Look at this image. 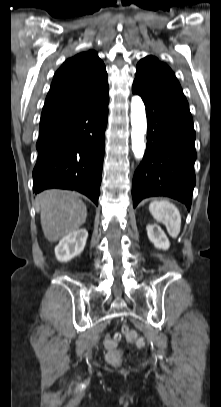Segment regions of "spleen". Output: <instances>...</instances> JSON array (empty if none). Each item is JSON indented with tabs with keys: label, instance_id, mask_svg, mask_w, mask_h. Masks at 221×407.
I'll use <instances>...</instances> for the list:
<instances>
[{
	"label": "spleen",
	"instance_id": "3e777b00",
	"mask_svg": "<svg viewBox=\"0 0 221 407\" xmlns=\"http://www.w3.org/2000/svg\"><path fill=\"white\" fill-rule=\"evenodd\" d=\"M149 211L158 222L163 223L170 236L176 238L180 233L181 215L178 208L168 200H155L150 203Z\"/></svg>",
	"mask_w": 221,
	"mask_h": 407
}]
</instances>
